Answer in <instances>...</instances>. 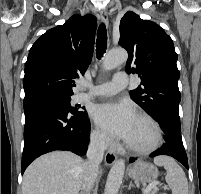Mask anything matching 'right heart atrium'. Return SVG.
Listing matches in <instances>:
<instances>
[{
	"mask_svg": "<svg viewBox=\"0 0 201 194\" xmlns=\"http://www.w3.org/2000/svg\"><path fill=\"white\" fill-rule=\"evenodd\" d=\"M91 141L98 149H105L111 144L110 138L98 128L91 131Z\"/></svg>",
	"mask_w": 201,
	"mask_h": 194,
	"instance_id": "right-heart-atrium-1",
	"label": "right heart atrium"
}]
</instances>
